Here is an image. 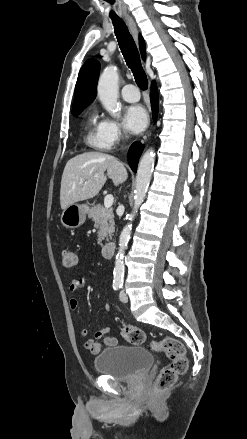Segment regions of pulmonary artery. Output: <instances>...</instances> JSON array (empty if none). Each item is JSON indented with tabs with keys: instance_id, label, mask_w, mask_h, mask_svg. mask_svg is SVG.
<instances>
[{
	"instance_id": "e3ab8cb5",
	"label": "pulmonary artery",
	"mask_w": 247,
	"mask_h": 439,
	"mask_svg": "<svg viewBox=\"0 0 247 439\" xmlns=\"http://www.w3.org/2000/svg\"><path fill=\"white\" fill-rule=\"evenodd\" d=\"M121 95L127 102H137L140 99L139 91L133 84L125 85L121 90Z\"/></svg>"
}]
</instances>
